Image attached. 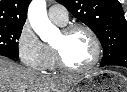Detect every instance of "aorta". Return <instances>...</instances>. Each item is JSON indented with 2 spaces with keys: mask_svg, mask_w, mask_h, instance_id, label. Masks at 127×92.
<instances>
[{
  "mask_svg": "<svg viewBox=\"0 0 127 92\" xmlns=\"http://www.w3.org/2000/svg\"><path fill=\"white\" fill-rule=\"evenodd\" d=\"M28 20L33 30L45 42L57 31L47 16L46 1L33 0L28 8Z\"/></svg>",
  "mask_w": 127,
  "mask_h": 92,
  "instance_id": "762f6f07",
  "label": "aorta"
}]
</instances>
